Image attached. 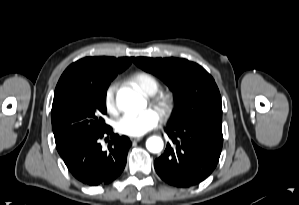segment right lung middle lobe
I'll return each instance as SVG.
<instances>
[{
	"label": "right lung middle lobe",
	"instance_id": "dd1d6c3e",
	"mask_svg": "<svg viewBox=\"0 0 299 205\" xmlns=\"http://www.w3.org/2000/svg\"><path fill=\"white\" fill-rule=\"evenodd\" d=\"M114 77L71 84L52 107V128L56 148L105 131L106 91Z\"/></svg>",
	"mask_w": 299,
	"mask_h": 205
}]
</instances>
